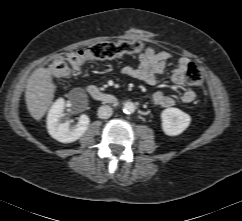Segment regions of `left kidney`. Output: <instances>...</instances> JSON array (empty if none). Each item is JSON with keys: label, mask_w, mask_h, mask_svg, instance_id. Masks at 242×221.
<instances>
[{"label": "left kidney", "mask_w": 242, "mask_h": 221, "mask_svg": "<svg viewBox=\"0 0 242 221\" xmlns=\"http://www.w3.org/2000/svg\"><path fill=\"white\" fill-rule=\"evenodd\" d=\"M162 129L166 135L177 136L190 124L191 117L178 108H167L161 113Z\"/></svg>", "instance_id": "obj_1"}]
</instances>
